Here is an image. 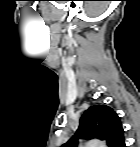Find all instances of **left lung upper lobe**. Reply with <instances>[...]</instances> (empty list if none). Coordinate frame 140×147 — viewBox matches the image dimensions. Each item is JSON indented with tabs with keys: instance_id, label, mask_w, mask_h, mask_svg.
Wrapping results in <instances>:
<instances>
[{
	"instance_id": "1",
	"label": "left lung upper lobe",
	"mask_w": 140,
	"mask_h": 147,
	"mask_svg": "<svg viewBox=\"0 0 140 147\" xmlns=\"http://www.w3.org/2000/svg\"><path fill=\"white\" fill-rule=\"evenodd\" d=\"M78 138L105 140L109 147H124V130L117 113L106 105H94L85 111L75 135L63 147H75Z\"/></svg>"
}]
</instances>
